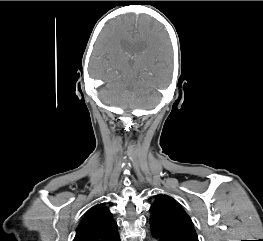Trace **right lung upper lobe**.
<instances>
[{"label": "right lung upper lobe", "instance_id": "obj_1", "mask_svg": "<svg viewBox=\"0 0 263 241\" xmlns=\"http://www.w3.org/2000/svg\"><path fill=\"white\" fill-rule=\"evenodd\" d=\"M119 235L111 213L102 204L91 207L76 229L74 241H116Z\"/></svg>", "mask_w": 263, "mask_h": 241}]
</instances>
